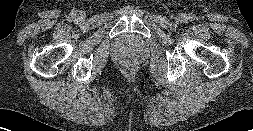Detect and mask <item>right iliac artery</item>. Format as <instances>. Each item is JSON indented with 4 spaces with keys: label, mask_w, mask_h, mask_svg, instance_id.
Masks as SVG:
<instances>
[{
    "label": "right iliac artery",
    "mask_w": 253,
    "mask_h": 131,
    "mask_svg": "<svg viewBox=\"0 0 253 131\" xmlns=\"http://www.w3.org/2000/svg\"><path fill=\"white\" fill-rule=\"evenodd\" d=\"M75 16H76V14H75V13H72V14H71V17H72V18H74Z\"/></svg>",
    "instance_id": "1"
}]
</instances>
